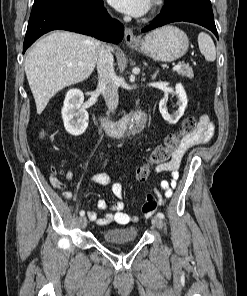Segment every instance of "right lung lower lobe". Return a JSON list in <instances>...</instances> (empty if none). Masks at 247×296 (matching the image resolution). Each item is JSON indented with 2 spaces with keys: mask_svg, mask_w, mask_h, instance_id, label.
I'll return each instance as SVG.
<instances>
[{
  "mask_svg": "<svg viewBox=\"0 0 247 296\" xmlns=\"http://www.w3.org/2000/svg\"><path fill=\"white\" fill-rule=\"evenodd\" d=\"M103 0H35L23 44V53L41 35L68 30L118 44L124 26L111 20Z\"/></svg>",
  "mask_w": 247,
  "mask_h": 296,
  "instance_id": "98d812e1",
  "label": "right lung lower lobe"
}]
</instances>
